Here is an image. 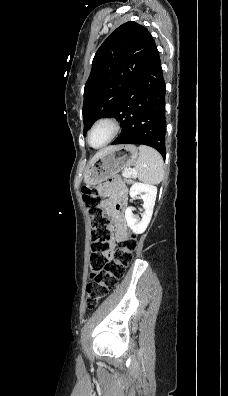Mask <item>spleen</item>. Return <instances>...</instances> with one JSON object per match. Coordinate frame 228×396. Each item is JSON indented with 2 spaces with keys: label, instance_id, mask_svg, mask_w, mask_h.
Segmentation results:
<instances>
[{
  "label": "spleen",
  "instance_id": "1",
  "mask_svg": "<svg viewBox=\"0 0 228 396\" xmlns=\"http://www.w3.org/2000/svg\"><path fill=\"white\" fill-rule=\"evenodd\" d=\"M137 178L149 184H159L164 178V163L161 155L155 149L139 146V157L136 165Z\"/></svg>",
  "mask_w": 228,
  "mask_h": 396
}]
</instances>
